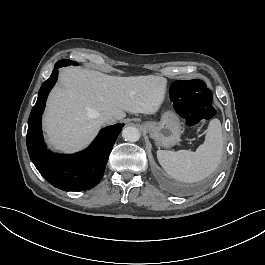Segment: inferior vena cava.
I'll list each match as a JSON object with an SVG mask.
<instances>
[{"instance_id": "obj_1", "label": "inferior vena cava", "mask_w": 265, "mask_h": 265, "mask_svg": "<svg viewBox=\"0 0 265 265\" xmlns=\"http://www.w3.org/2000/svg\"><path fill=\"white\" fill-rule=\"evenodd\" d=\"M115 121V119L113 117H111L110 115L108 114H101L98 118V122L101 124V125H104V124H111Z\"/></svg>"}]
</instances>
